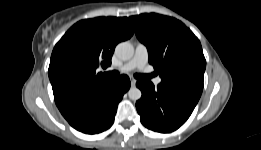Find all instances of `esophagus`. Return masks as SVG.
<instances>
[{"mask_svg": "<svg viewBox=\"0 0 261 150\" xmlns=\"http://www.w3.org/2000/svg\"><path fill=\"white\" fill-rule=\"evenodd\" d=\"M136 85V80L135 79H131V86L134 87Z\"/></svg>", "mask_w": 261, "mask_h": 150, "instance_id": "obj_1", "label": "esophagus"}]
</instances>
